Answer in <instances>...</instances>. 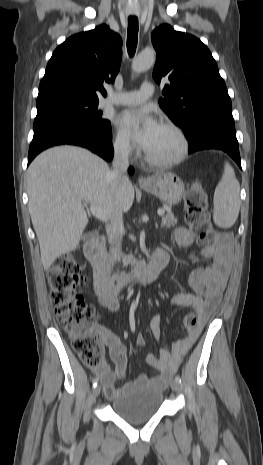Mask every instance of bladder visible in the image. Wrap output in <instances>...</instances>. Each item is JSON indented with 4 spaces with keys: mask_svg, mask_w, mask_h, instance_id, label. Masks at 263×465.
Segmentation results:
<instances>
[{
    "mask_svg": "<svg viewBox=\"0 0 263 465\" xmlns=\"http://www.w3.org/2000/svg\"><path fill=\"white\" fill-rule=\"evenodd\" d=\"M162 402L161 391L144 386L124 392L112 401L110 407L121 419L133 425H140L159 411Z\"/></svg>",
    "mask_w": 263,
    "mask_h": 465,
    "instance_id": "31cf9c89",
    "label": "bladder"
}]
</instances>
